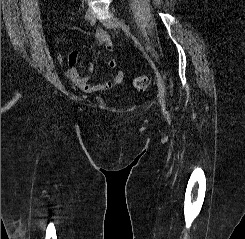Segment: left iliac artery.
Wrapping results in <instances>:
<instances>
[{
	"instance_id": "44dca946",
	"label": "left iliac artery",
	"mask_w": 245,
	"mask_h": 239,
	"mask_svg": "<svg viewBox=\"0 0 245 239\" xmlns=\"http://www.w3.org/2000/svg\"><path fill=\"white\" fill-rule=\"evenodd\" d=\"M119 24L121 26V28L123 29V31L132 38V40L134 41L135 45L139 47V49L143 52L145 58H147V60L149 61V63L151 64L152 68L155 71L156 77L158 82L162 85L163 89L165 90V94H166V86H165V82L162 79L158 69L156 68L155 64L152 62V60L148 57L147 53L145 52L144 48L142 47V45L140 44V42L138 41V39L135 37V35L130 31L129 26L125 23V21L123 19H119Z\"/></svg>"
}]
</instances>
